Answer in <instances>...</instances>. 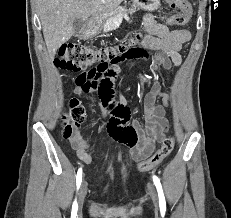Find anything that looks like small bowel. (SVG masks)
Listing matches in <instances>:
<instances>
[{
    "label": "small bowel",
    "instance_id": "1",
    "mask_svg": "<svg viewBox=\"0 0 231 218\" xmlns=\"http://www.w3.org/2000/svg\"><path fill=\"white\" fill-rule=\"evenodd\" d=\"M165 19L166 17H163V20ZM144 25L147 35L141 40L142 45L160 52L155 56L151 65L152 72H155L159 67L165 69L179 67L182 62L180 50L190 40V32L188 30L171 31L165 23L157 22L152 14L145 15ZM127 59H131L136 65L149 64L148 58L131 56V58ZM119 61L124 63L125 59L121 58V56H116V60H106L105 63L93 66L92 69H81V74L75 81L78 94L98 89L105 107L111 113V119L107 124L109 134L130 148L129 153H119L110 158L108 163L121 158H145L151 153L154 145L153 140L144 134L137 122L125 125L129 120L130 111L124 95L121 92L116 93L114 90V81L118 74L123 72L118 69ZM159 97L162 98L163 105L157 103ZM168 105V94L163 93L160 83L154 80L150 91L144 98L145 127L148 132L152 134L158 132L159 136H161L168 129V121L164 116L165 108ZM71 145L79 159L85 163H91L92 158L88 153L90 144L82 137L80 130L76 131L71 140Z\"/></svg>",
    "mask_w": 231,
    "mask_h": 218
}]
</instances>
